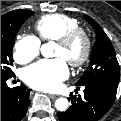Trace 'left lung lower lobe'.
Here are the masks:
<instances>
[{
    "label": "left lung lower lobe",
    "mask_w": 121,
    "mask_h": 121,
    "mask_svg": "<svg viewBox=\"0 0 121 121\" xmlns=\"http://www.w3.org/2000/svg\"><path fill=\"white\" fill-rule=\"evenodd\" d=\"M84 87V96L71 95L72 105L65 112H58L60 121H98L115 101L117 88L103 84H88ZM79 89V87H77Z\"/></svg>",
    "instance_id": "obj_1"
}]
</instances>
